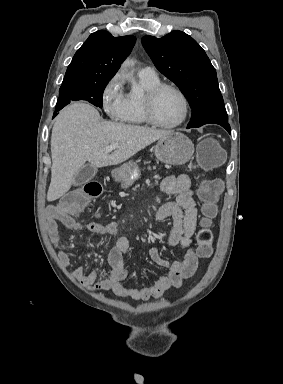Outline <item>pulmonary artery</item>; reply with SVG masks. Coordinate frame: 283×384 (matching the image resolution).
Instances as JSON below:
<instances>
[{"label":"pulmonary artery","instance_id":"e3ab8cb5","mask_svg":"<svg viewBox=\"0 0 283 384\" xmlns=\"http://www.w3.org/2000/svg\"><path fill=\"white\" fill-rule=\"evenodd\" d=\"M138 75L148 80H157L158 75L151 67H143L138 70Z\"/></svg>","mask_w":283,"mask_h":384}]
</instances>
